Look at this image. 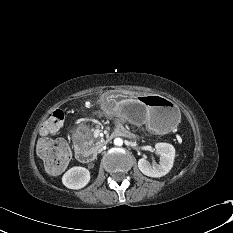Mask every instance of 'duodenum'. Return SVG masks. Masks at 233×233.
Returning <instances> with one entry per match:
<instances>
[{"label": "duodenum", "instance_id": "1", "mask_svg": "<svg viewBox=\"0 0 233 233\" xmlns=\"http://www.w3.org/2000/svg\"><path fill=\"white\" fill-rule=\"evenodd\" d=\"M129 133L122 127H116L114 131V136H128ZM76 156L77 159L81 162L88 163L95 159V152L92 150L85 149L84 147H76Z\"/></svg>", "mask_w": 233, "mask_h": 233}]
</instances>
